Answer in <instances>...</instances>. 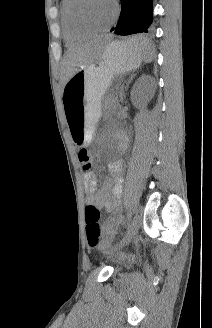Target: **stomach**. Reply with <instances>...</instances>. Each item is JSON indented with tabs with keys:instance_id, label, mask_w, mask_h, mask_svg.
I'll list each match as a JSON object with an SVG mask.
<instances>
[{
	"instance_id": "obj_1",
	"label": "stomach",
	"mask_w": 212,
	"mask_h": 328,
	"mask_svg": "<svg viewBox=\"0 0 212 328\" xmlns=\"http://www.w3.org/2000/svg\"><path fill=\"white\" fill-rule=\"evenodd\" d=\"M134 40L125 45L110 43L100 56L98 66L79 69L64 86L63 101L66 106L68 127L73 141L86 145L94 135L100 116L101 101L114 76L132 71L140 66L145 48L132 49Z\"/></svg>"
}]
</instances>
